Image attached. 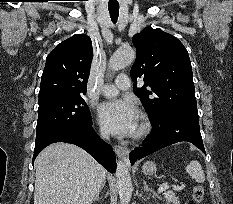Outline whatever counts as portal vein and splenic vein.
<instances>
[{"label":"portal vein and splenic vein","mask_w":233,"mask_h":204,"mask_svg":"<svg viewBox=\"0 0 233 204\" xmlns=\"http://www.w3.org/2000/svg\"><path fill=\"white\" fill-rule=\"evenodd\" d=\"M168 183H162L159 188H158V193L163 192L164 190H166L168 188Z\"/></svg>","instance_id":"1"}]
</instances>
